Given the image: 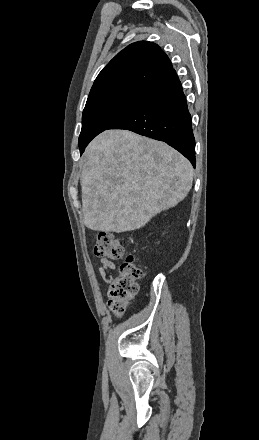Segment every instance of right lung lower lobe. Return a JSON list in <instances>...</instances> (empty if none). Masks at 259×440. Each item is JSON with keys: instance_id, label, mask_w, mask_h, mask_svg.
<instances>
[{"instance_id": "right-lung-lower-lobe-1", "label": "right lung lower lobe", "mask_w": 259, "mask_h": 440, "mask_svg": "<svg viewBox=\"0 0 259 440\" xmlns=\"http://www.w3.org/2000/svg\"><path fill=\"white\" fill-rule=\"evenodd\" d=\"M108 129H126L166 142L195 167V139L181 82L171 70Z\"/></svg>"}]
</instances>
